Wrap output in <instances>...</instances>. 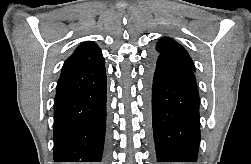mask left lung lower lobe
Returning a JSON list of instances; mask_svg holds the SVG:
<instances>
[{
    "label": "left lung lower lobe",
    "mask_w": 251,
    "mask_h": 164,
    "mask_svg": "<svg viewBox=\"0 0 251 164\" xmlns=\"http://www.w3.org/2000/svg\"><path fill=\"white\" fill-rule=\"evenodd\" d=\"M195 70L152 56L146 71V103L155 162H196L200 143Z\"/></svg>",
    "instance_id": "0a47b994"
}]
</instances>
